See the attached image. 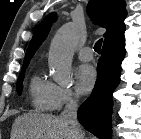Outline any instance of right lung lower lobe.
I'll return each instance as SVG.
<instances>
[{"label":"right lung lower lobe","mask_w":141,"mask_h":139,"mask_svg":"<svg viewBox=\"0 0 141 139\" xmlns=\"http://www.w3.org/2000/svg\"><path fill=\"white\" fill-rule=\"evenodd\" d=\"M125 56L124 36L104 44L98 61L97 80L90 98L78 110V120L100 139H111L112 93L120 82Z\"/></svg>","instance_id":"obj_1"}]
</instances>
